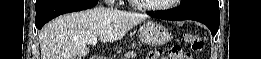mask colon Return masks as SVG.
Masks as SVG:
<instances>
[{"instance_id":"obj_1","label":"colon","mask_w":261,"mask_h":59,"mask_svg":"<svg viewBox=\"0 0 261 59\" xmlns=\"http://www.w3.org/2000/svg\"><path fill=\"white\" fill-rule=\"evenodd\" d=\"M187 41L191 44L195 52H201L205 48V43L202 38L196 35H188ZM169 58L171 59H191L189 55H184L180 46H172L168 50ZM159 56H163V52L159 53Z\"/></svg>"}]
</instances>
